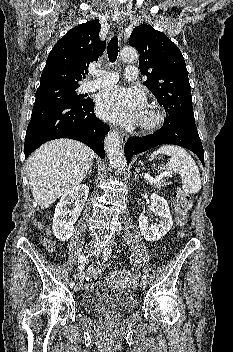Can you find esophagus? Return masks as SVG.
Instances as JSON below:
<instances>
[{"label":"esophagus","mask_w":233,"mask_h":352,"mask_svg":"<svg viewBox=\"0 0 233 352\" xmlns=\"http://www.w3.org/2000/svg\"><path fill=\"white\" fill-rule=\"evenodd\" d=\"M125 16H126V13L124 10H121L118 12V15H117V24H118V30H119V33L121 32V29H122V25L125 21ZM120 138H121V142L122 143H125L128 139V135L124 132H121L120 133Z\"/></svg>","instance_id":"obj_1"}]
</instances>
